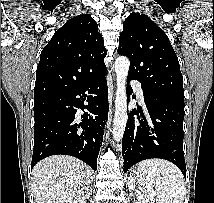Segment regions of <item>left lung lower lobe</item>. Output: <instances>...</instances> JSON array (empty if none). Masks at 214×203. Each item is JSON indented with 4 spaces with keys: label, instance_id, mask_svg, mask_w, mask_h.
<instances>
[{
    "label": "left lung lower lobe",
    "instance_id": "left-lung-lower-lobe-1",
    "mask_svg": "<svg viewBox=\"0 0 214 203\" xmlns=\"http://www.w3.org/2000/svg\"><path fill=\"white\" fill-rule=\"evenodd\" d=\"M127 93H133L130 85ZM143 94L149 118L143 116L140 120L136 110L128 116L122 139L124 173L142 160L161 158L175 164L186 177L183 152L184 98L145 90ZM135 114L137 119L134 118Z\"/></svg>",
    "mask_w": 214,
    "mask_h": 203
}]
</instances>
